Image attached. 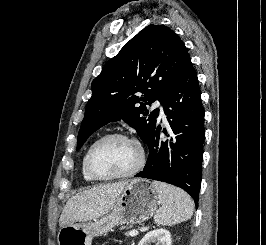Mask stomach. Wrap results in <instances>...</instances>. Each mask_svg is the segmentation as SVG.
Returning a JSON list of instances; mask_svg holds the SVG:
<instances>
[{
  "mask_svg": "<svg viewBox=\"0 0 266 245\" xmlns=\"http://www.w3.org/2000/svg\"><path fill=\"white\" fill-rule=\"evenodd\" d=\"M158 205L159 197L150 181L131 179L109 213L89 223L62 227L58 245H92L93 237H103L118 225H135L151 219Z\"/></svg>",
  "mask_w": 266,
  "mask_h": 245,
  "instance_id": "obj_1",
  "label": "stomach"
}]
</instances>
